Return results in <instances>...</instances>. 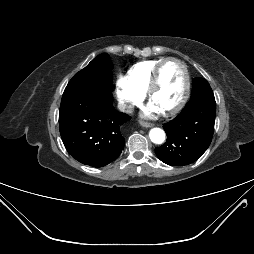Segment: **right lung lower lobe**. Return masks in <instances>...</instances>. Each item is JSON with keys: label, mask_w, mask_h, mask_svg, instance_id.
Here are the masks:
<instances>
[{"label": "right lung lower lobe", "mask_w": 254, "mask_h": 254, "mask_svg": "<svg viewBox=\"0 0 254 254\" xmlns=\"http://www.w3.org/2000/svg\"><path fill=\"white\" fill-rule=\"evenodd\" d=\"M130 120L112 105L111 93L93 94L84 89L64 91L59 129L68 153L77 161L102 167L122 152L121 126Z\"/></svg>", "instance_id": "obj_1"}]
</instances>
